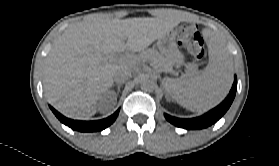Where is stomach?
<instances>
[{
	"label": "stomach",
	"instance_id": "obj_1",
	"mask_svg": "<svg viewBox=\"0 0 279 166\" xmlns=\"http://www.w3.org/2000/svg\"><path fill=\"white\" fill-rule=\"evenodd\" d=\"M157 47L166 56L170 66L180 67L184 64L185 57L179 51L174 32H169L157 40Z\"/></svg>",
	"mask_w": 279,
	"mask_h": 166
}]
</instances>
